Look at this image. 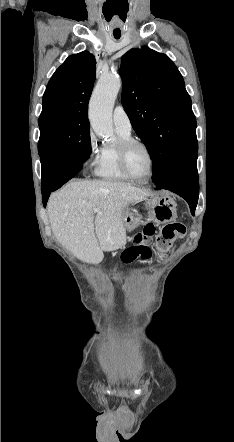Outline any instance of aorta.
I'll return each instance as SVG.
<instances>
[{
  "label": "aorta",
  "instance_id": "1",
  "mask_svg": "<svg viewBox=\"0 0 234 442\" xmlns=\"http://www.w3.org/2000/svg\"><path fill=\"white\" fill-rule=\"evenodd\" d=\"M122 81L119 75L102 76L91 97L89 120L94 132L105 139L114 140L112 110Z\"/></svg>",
  "mask_w": 234,
  "mask_h": 442
}]
</instances>
